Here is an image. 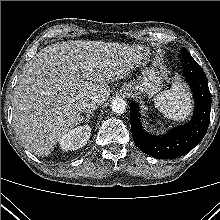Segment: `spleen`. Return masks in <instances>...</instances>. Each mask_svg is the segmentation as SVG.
<instances>
[{"instance_id": "spleen-1", "label": "spleen", "mask_w": 220, "mask_h": 220, "mask_svg": "<svg viewBox=\"0 0 220 220\" xmlns=\"http://www.w3.org/2000/svg\"><path fill=\"white\" fill-rule=\"evenodd\" d=\"M154 105L174 121H184L192 111L190 94L180 82L173 83L170 90L159 93L154 99Z\"/></svg>"}]
</instances>
